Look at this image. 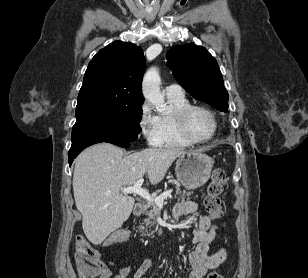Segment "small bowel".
I'll use <instances>...</instances> for the list:
<instances>
[{
    "label": "small bowel",
    "instance_id": "obj_1",
    "mask_svg": "<svg viewBox=\"0 0 308 278\" xmlns=\"http://www.w3.org/2000/svg\"><path fill=\"white\" fill-rule=\"evenodd\" d=\"M176 217L182 215H198L199 220L196 229L193 231L192 242L196 245L195 249L189 254V264L191 272L189 278H205L210 270L217 268L222 264L227 256L226 250L220 248L217 252L209 255L208 250L216 237V230L212 219L201 212L199 205L195 202L186 201L179 203L174 208ZM110 243V242H109ZM152 260L145 259L139 269L135 272L133 278H143L152 267ZM130 268L123 266L115 278H127ZM112 273L110 269L102 264V270L99 278H110Z\"/></svg>",
    "mask_w": 308,
    "mask_h": 278
}]
</instances>
